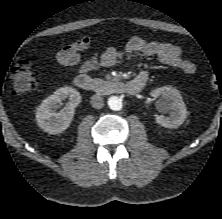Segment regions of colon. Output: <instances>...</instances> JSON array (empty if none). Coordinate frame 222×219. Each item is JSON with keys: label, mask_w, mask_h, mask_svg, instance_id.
<instances>
[{"label": "colon", "mask_w": 222, "mask_h": 219, "mask_svg": "<svg viewBox=\"0 0 222 219\" xmlns=\"http://www.w3.org/2000/svg\"><path fill=\"white\" fill-rule=\"evenodd\" d=\"M40 76V71L34 68L31 62L27 60L18 62L11 72L14 92L24 93L34 90L39 84ZM211 83L216 85L214 79Z\"/></svg>", "instance_id": "1"}]
</instances>
